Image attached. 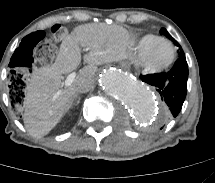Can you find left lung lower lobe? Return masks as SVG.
<instances>
[{"label":"left lung lower lobe","mask_w":215,"mask_h":183,"mask_svg":"<svg viewBox=\"0 0 215 183\" xmlns=\"http://www.w3.org/2000/svg\"><path fill=\"white\" fill-rule=\"evenodd\" d=\"M141 80L156 88L167 105L170 118L176 117L187 93L188 65L185 55L179 57L170 71L141 75Z\"/></svg>","instance_id":"left-lung-lower-lobe-1"}]
</instances>
